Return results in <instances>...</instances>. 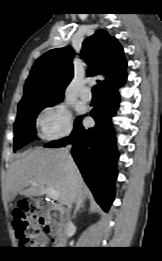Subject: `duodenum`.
I'll return each instance as SVG.
<instances>
[{"label":"duodenum","mask_w":162,"mask_h":261,"mask_svg":"<svg viewBox=\"0 0 162 261\" xmlns=\"http://www.w3.org/2000/svg\"><path fill=\"white\" fill-rule=\"evenodd\" d=\"M44 231L53 236L52 243L58 247H63L66 244L67 238L69 237L71 228L64 227L62 224H59L52 220L51 218H45L43 223Z\"/></svg>","instance_id":"obj_1"}]
</instances>
